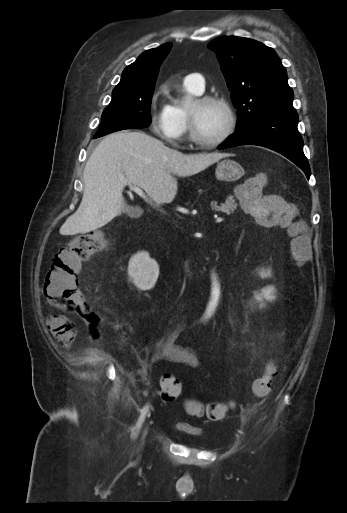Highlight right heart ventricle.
Here are the masks:
<instances>
[{
    "instance_id": "right-heart-ventricle-1",
    "label": "right heart ventricle",
    "mask_w": 347,
    "mask_h": 513,
    "mask_svg": "<svg viewBox=\"0 0 347 513\" xmlns=\"http://www.w3.org/2000/svg\"><path fill=\"white\" fill-rule=\"evenodd\" d=\"M183 91L192 95H199L192 86L187 84L185 81L182 85ZM169 111L174 115V117L182 124L185 125L188 129V120H187V106H185L180 100H173L169 105H167Z\"/></svg>"
}]
</instances>
